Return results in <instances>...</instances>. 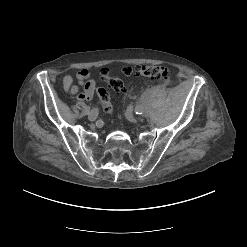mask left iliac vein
I'll use <instances>...</instances> for the list:
<instances>
[{
  "label": "left iliac vein",
  "instance_id": "left-iliac-vein-1",
  "mask_svg": "<svg viewBox=\"0 0 247 247\" xmlns=\"http://www.w3.org/2000/svg\"><path fill=\"white\" fill-rule=\"evenodd\" d=\"M126 118L131 122H135L136 121V118H135V116L133 115V113L131 111H127L126 112Z\"/></svg>",
  "mask_w": 247,
  "mask_h": 247
}]
</instances>
